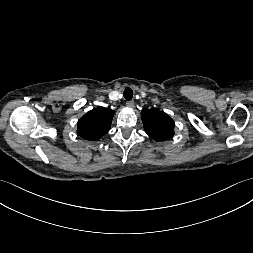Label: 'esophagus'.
Returning a JSON list of instances; mask_svg holds the SVG:
<instances>
[{
	"instance_id": "esophagus-1",
	"label": "esophagus",
	"mask_w": 253,
	"mask_h": 253,
	"mask_svg": "<svg viewBox=\"0 0 253 253\" xmlns=\"http://www.w3.org/2000/svg\"><path fill=\"white\" fill-rule=\"evenodd\" d=\"M126 106L129 107V108L134 107V101H133V100L127 101V102H126Z\"/></svg>"
}]
</instances>
